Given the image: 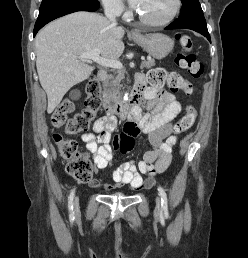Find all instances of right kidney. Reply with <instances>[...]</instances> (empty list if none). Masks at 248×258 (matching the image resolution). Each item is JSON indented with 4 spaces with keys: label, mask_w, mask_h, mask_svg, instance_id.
<instances>
[{
    "label": "right kidney",
    "mask_w": 248,
    "mask_h": 258,
    "mask_svg": "<svg viewBox=\"0 0 248 258\" xmlns=\"http://www.w3.org/2000/svg\"><path fill=\"white\" fill-rule=\"evenodd\" d=\"M79 95H80V93H79L78 91H73V92L71 93V97H72V98H78Z\"/></svg>",
    "instance_id": "right-kidney-1"
}]
</instances>
